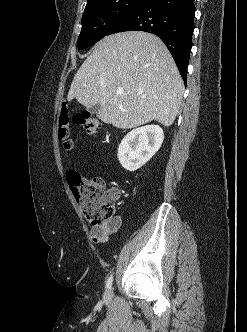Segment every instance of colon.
I'll list each match as a JSON object with an SVG mask.
<instances>
[{
    "label": "colon",
    "mask_w": 247,
    "mask_h": 332,
    "mask_svg": "<svg viewBox=\"0 0 247 332\" xmlns=\"http://www.w3.org/2000/svg\"><path fill=\"white\" fill-rule=\"evenodd\" d=\"M71 120L82 126L89 135H95L99 127L98 119L88 112L71 116L69 103L63 102L59 114L58 137L66 149H71L73 146L69 127ZM68 180L72 192L89 222L93 225H102L113 218L116 198L113 191L107 188L103 178H81L77 172L72 171Z\"/></svg>",
    "instance_id": "1"
}]
</instances>
